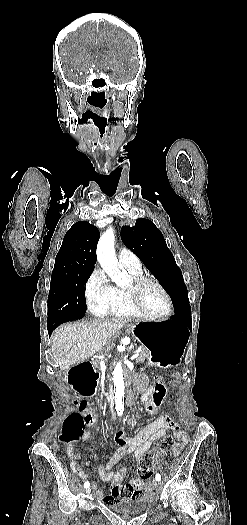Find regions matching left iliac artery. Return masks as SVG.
<instances>
[{"label":"left iliac artery","instance_id":"1","mask_svg":"<svg viewBox=\"0 0 247 525\" xmlns=\"http://www.w3.org/2000/svg\"><path fill=\"white\" fill-rule=\"evenodd\" d=\"M155 478H156L157 481H160L161 480V475L159 473H157Z\"/></svg>","mask_w":247,"mask_h":525}]
</instances>
